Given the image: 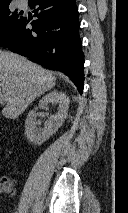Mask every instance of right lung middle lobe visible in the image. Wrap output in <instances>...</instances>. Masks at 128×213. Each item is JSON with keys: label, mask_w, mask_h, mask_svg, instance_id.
<instances>
[{"label": "right lung middle lobe", "mask_w": 128, "mask_h": 213, "mask_svg": "<svg viewBox=\"0 0 128 213\" xmlns=\"http://www.w3.org/2000/svg\"><path fill=\"white\" fill-rule=\"evenodd\" d=\"M20 13H12L9 4L0 6V43L24 20Z\"/></svg>", "instance_id": "dd1d6c3e"}]
</instances>
